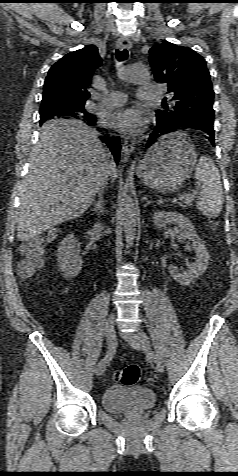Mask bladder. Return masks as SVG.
<instances>
[{
	"label": "bladder",
	"mask_w": 238,
	"mask_h": 476,
	"mask_svg": "<svg viewBox=\"0 0 238 476\" xmlns=\"http://www.w3.org/2000/svg\"><path fill=\"white\" fill-rule=\"evenodd\" d=\"M102 407L113 414H134L152 409L155 393L145 386L113 385L101 397Z\"/></svg>",
	"instance_id": "obj_1"
}]
</instances>
